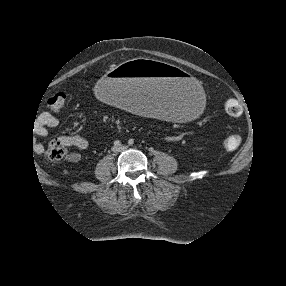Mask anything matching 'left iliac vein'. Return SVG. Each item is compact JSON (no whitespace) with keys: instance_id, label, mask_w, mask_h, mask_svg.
I'll return each instance as SVG.
<instances>
[{"instance_id":"obj_1","label":"left iliac vein","mask_w":286,"mask_h":286,"mask_svg":"<svg viewBox=\"0 0 286 286\" xmlns=\"http://www.w3.org/2000/svg\"><path fill=\"white\" fill-rule=\"evenodd\" d=\"M127 149V146L122 145L119 147V151H125Z\"/></svg>"}]
</instances>
